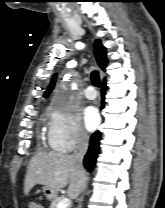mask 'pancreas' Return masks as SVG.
<instances>
[{
    "label": "pancreas",
    "instance_id": "cf45deb5",
    "mask_svg": "<svg viewBox=\"0 0 165 208\" xmlns=\"http://www.w3.org/2000/svg\"><path fill=\"white\" fill-rule=\"evenodd\" d=\"M63 199V197H56L52 200L50 208H57L58 203Z\"/></svg>",
    "mask_w": 165,
    "mask_h": 208
}]
</instances>
